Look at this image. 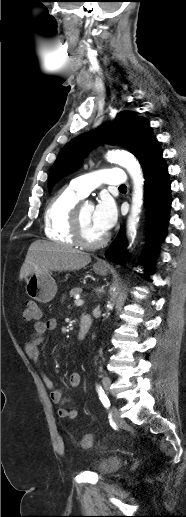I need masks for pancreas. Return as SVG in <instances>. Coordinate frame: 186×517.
<instances>
[{
    "label": "pancreas",
    "mask_w": 186,
    "mask_h": 517,
    "mask_svg": "<svg viewBox=\"0 0 186 517\" xmlns=\"http://www.w3.org/2000/svg\"><path fill=\"white\" fill-rule=\"evenodd\" d=\"M81 292H82V289H81V288H79V287H75V288L71 289V291H70V296H71V297H74L76 294H79V293H81Z\"/></svg>",
    "instance_id": "1"
}]
</instances>
